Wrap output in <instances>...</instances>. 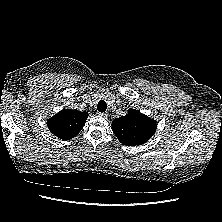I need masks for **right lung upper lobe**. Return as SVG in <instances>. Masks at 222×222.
I'll return each instance as SVG.
<instances>
[{
  "label": "right lung upper lobe",
  "mask_w": 222,
  "mask_h": 222,
  "mask_svg": "<svg viewBox=\"0 0 222 222\" xmlns=\"http://www.w3.org/2000/svg\"><path fill=\"white\" fill-rule=\"evenodd\" d=\"M88 117L87 112L63 109L48 119L47 125L53 135L62 140L75 137L83 128Z\"/></svg>",
  "instance_id": "right-lung-upper-lobe-1"
}]
</instances>
